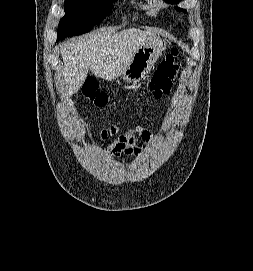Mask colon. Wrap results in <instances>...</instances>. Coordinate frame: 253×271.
<instances>
[{
  "mask_svg": "<svg viewBox=\"0 0 253 271\" xmlns=\"http://www.w3.org/2000/svg\"><path fill=\"white\" fill-rule=\"evenodd\" d=\"M177 57L178 50L172 48L153 73L148 85L153 97L161 98L171 91L179 69ZM82 92L84 97L96 106H104L107 103V95L99 91L96 81L92 78L84 81Z\"/></svg>",
  "mask_w": 253,
  "mask_h": 271,
  "instance_id": "1",
  "label": "colon"
}]
</instances>
